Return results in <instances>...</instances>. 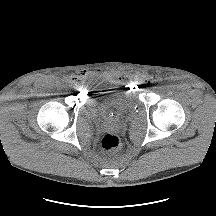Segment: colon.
Here are the masks:
<instances>
[{
  "instance_id": "colon-1",
  "label": "colon",
  "mask_w": 216,
  "mask_h": 216,
  "mask_svg": "<svg viewBox=\"0 0 216 216\" xmlns=\"http://www.w3.org/2000/svg\"><path fill=\"white\" fill-rule=\"evenodd\" d=\"M121 141L120 138L113 133H108L104 135L101 141V146L104 150H116L120 147Z\"/></svg>"
}]
</instances>
